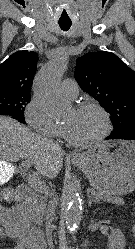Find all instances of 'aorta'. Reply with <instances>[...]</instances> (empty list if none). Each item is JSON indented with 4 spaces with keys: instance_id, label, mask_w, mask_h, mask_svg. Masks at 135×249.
Segmentation results:
<instances>
[{
    "instance_id": "762f6f07",
    "label": "aorta",
    "mask_w": 135,
    "mask_h": 249,
    "mask_svg": "<svg viewBox=\"0 0 135 249\" xmlns=\"http://www.w3.org/2000/svg\"><path fill=\"white\" fill-rule=\"evenodd\" d=\"M67 64L68 58L59 56L47 64L36 77L35 98L50 115H60L64 111L59 82L67 69ZM65 200V223L67 228L73 231L78 227L82 215V199L78 180L74 179L67 185Z\"/></svg>"
}]
</instances>
